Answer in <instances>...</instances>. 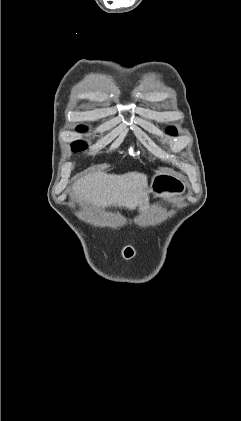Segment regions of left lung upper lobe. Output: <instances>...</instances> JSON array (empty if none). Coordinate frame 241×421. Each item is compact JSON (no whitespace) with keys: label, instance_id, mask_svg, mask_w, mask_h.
<instances>
[{"label":"left lung upper lobe","instance_id":"5c2ea615","mask_svg":"<svg viewBox=\"0 0 241 421\" xmlns=\"http://www.w3.org/2000/svg\"><path fill=\"white\" fill-rule=\"evenodd\" d=\"M167 132L172 135H176V129L174 127L168 128Z\"/></svg>","mask_w":241,"mask_h":421}]
</instances>
